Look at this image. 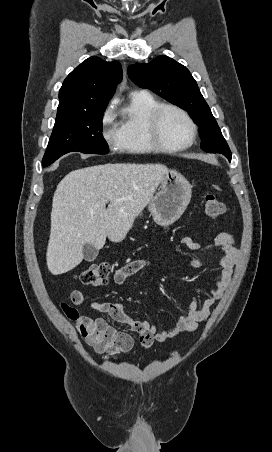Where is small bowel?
Masks as SVG:
<instances>
[{"instance_id": "1", "label": "small bowel", "mask_w": 272, "mask_h": 452, "mask_svg": "<svg viewBox=\"0 0 272 452\" xmlns=\"http://www.w3.org/2000/svg\"><path fill=\"white\" fill-rule=\"evenodd\" d=\"M180 243L189 251L202 249V245L190 236H183ZM205 251L216 250L218 252L219 276L212 288L208 291V297L199 305L193 300L188 312L181 315L176 323L168 329L159 331L154 324L146 320H134L126 312L124 305L119 302H90L89 307L95 311L105 313L115 321L129 326L138 334L141 345L149 348L153 343H163L182 332L193 331L200 322L206 321L215 304L223 297L225 290L230 284L233 271L239 262L240 252L235 244L234 237L228 232L219 233L214 242L204 247ZM193 267L203 265V258L188 257ZM151 268V263L145 259L131 260L116 268L113 279L117 284H123L129 277L140 271ZM71 301L75 305L85 302V296L80 290L71 293ZM67 305L68 310L63 306ZM62 310L66 316L75 323L80 335L86 343L98 352H106L103 344L109 339L115 350L126 353L133 347V338L124 331H118L107 325L102 318H92L81 315L76 308L68 303H62Z\"/></svg>"}]
</instances>
